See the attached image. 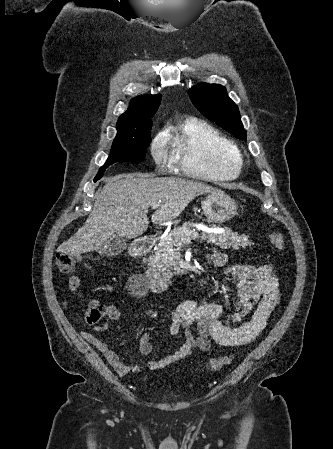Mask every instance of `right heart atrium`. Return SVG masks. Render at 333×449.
I'll list each match as a JSON object with an SVG mask.
<instances>
[{
  "instance_id": "d8ad5b80",
  "label": "right heart atrium",
  "mask_w": 333,
  "mask_h": 449,
  "mask_svg": "<svg viewBox=\"0 0 333 449\" xmlns=\"http://www.w3.org/2000/svg\"><path fill=\"white\" fill-rule=\"evenodd\" d=\"M151 153L154 160L160 164L166 158L165 141L162 137H157L151 145Z\"/></svg>"
}]
</instances>
